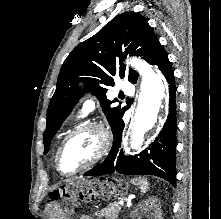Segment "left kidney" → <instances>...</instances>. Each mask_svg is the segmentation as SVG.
<instances>
[{
	"mask_svg": "<svg viewBox=\"0 0 221 219\" xmlns=\"http://www.w3.org/2000/svg\"><path fill=\"white\" fill-rule=\"evenodd\" d=\"M145 213H150V219H162L161 207L159 200L152 196L138 205L132 214V219H140V216Z\"/></svg>",
	"mask_w": 221,
	"mask_h": 219,
	"instance_id": "left-kidney-1",
	"label": "left kidney"
}]
</instances>
